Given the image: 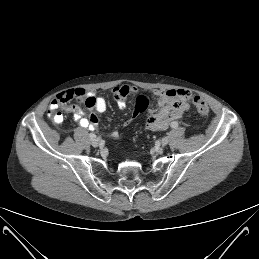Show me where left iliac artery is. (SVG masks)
Segmentation results:
<instances>
[{
	"mask_svg": "<svg viewBox=\"0 0 259 259\" xmlns=\"http://www.w3.org/2000/svg\"><path fill=\"white\" fill-rule=\"evenodd\" d=\"M171 127L172 128H177L178 127V123L177 122H172L171 123Z\"/></svg>",
	"mask_w": 259,
	"mask_h": 259,
	"instance_id": "44dca946",
	"label": "left iliac artery"
}]
</instances>
